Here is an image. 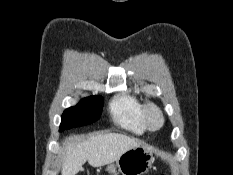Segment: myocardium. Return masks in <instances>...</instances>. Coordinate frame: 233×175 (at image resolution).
Returning <instances> with one entry per match:
<instances>
[{
	"instance_id": "f54148a6",
	"label": "myocardium",
	"mask_w": 233,
	"mask_h": 175,
	"mask_svg": "<svg viewBox=\"0 0 233 175\" xmlns=\"http://www.w3.org/2000/svg\"><path fill=\"white\" fill-rule=\"evenodd\" d=\"M153 115H155L158 118L157 125H153L151 122V117ZM142 117H143L145 126L147 127V129L151 131L159 130L160 128H162L164 124V115H163L162 110L160 109L158 105L152 102H148L144 104L143 110H142Z\"/></svg>"
}]
</instances>
